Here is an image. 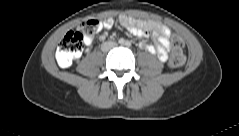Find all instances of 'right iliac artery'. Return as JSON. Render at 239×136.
Wrapping results in <instances>:
<instances>
[{"label":"right iliac artery","mask_w":239,"mask_h":136,"mask_svg":"<svg viewBox=\"0 0 239 136\" xmlns=\"http://www.w3.org/2000/svg\"><path fill=\"white\" fill-rule=\"evenodd\" d=\"M124 42H125V41H124L123 39H120V40H119V43H120V44H124Z\"/></svg>","instance_id":"obj_1"}]
</instances>
